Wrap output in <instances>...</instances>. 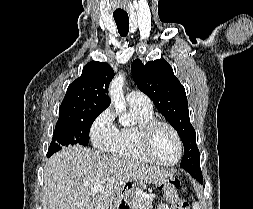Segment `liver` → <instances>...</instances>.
I'll list each match as a JSON object with an SVG mask.
<instances>
[{
	"mask_svg": "<svg viewBox=\"0 0 253 209\" xmlns=\"http://www.w3.org/2000/svg\"><path fill=\"white\" fill-rule=\"evenodd\" d=\"M171 175L163 168L110 157L80 145L66 147L46 163L42 205L43 209H111L129 181L142 186ZM98 183L104 184L103 191L93 193Z\"/></svg>",
	"mask_w": 253,
	"mask_h": 209,
	"instance_id": "obj_1",
	"label": "liver"
}]
</instances>
